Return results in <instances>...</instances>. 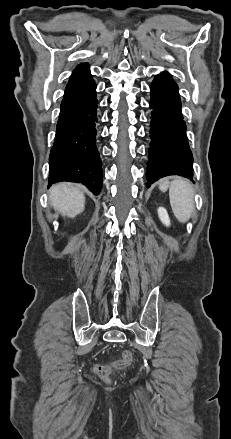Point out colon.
<instances>
[{
	"label": "colon",
	"instance_id": "5ec220e1",
	"mask_svg": "<svg viewBox=\"0 0 231 439\" xmlns=\"http://www.w3.org/2000/svg\"><path fill=\"white\" fill-rule=\"evenodd\" d=\"M133 362V353L125 350L121 359L113 363H100L94 367V372L101 378L107 379L114 368H124Z\"/></svg>",
	"mask_w": 231,
	"mask_h": 439
}]
</instances>
